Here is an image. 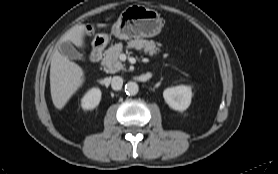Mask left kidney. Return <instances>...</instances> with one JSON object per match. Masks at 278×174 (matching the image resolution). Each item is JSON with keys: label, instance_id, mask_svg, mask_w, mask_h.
<instances>
[{"label": "left kidney", "instance_id": "obj_1", "mask_svg": "<svg viewBox=\"0 0 278 174\" xmlns=\"http://www.w3.org/2000/svg\"><path fill=\"white\" fill-rule=\"evenodd\" d=\"M163 97L172 109L184 111L191 103L192 91L189 86L180 85L165 89Z\"/></svg>", "mask_w": 278, "mask_h": 174}]
</instances>
